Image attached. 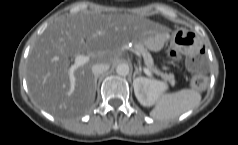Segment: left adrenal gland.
Listing matches in <instances>:
<instances>
[{"label": "left adrenal gland", "instance_id": "obj_1", "mask_svg": "<svg viewBox=\"0 0 238 145\" xmlns=\"http://www.w3.org/2000/svg\"><path fill=\"white\" fill-rule=\"evenodd\" d=\"M137 74L141 75V70L138 69L137 66H135V72H134V75H133V79H135V76H136Z\"/></svg>", "mask_w": 238, "mask_h": 145}]
</instances>
